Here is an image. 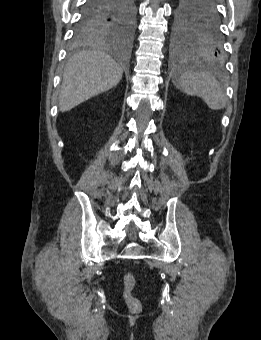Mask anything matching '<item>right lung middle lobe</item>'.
Here are the masks:
<instances>
[{
  "instance_id": "dd1d6c3e",
  "label": "right lung middle lobe",
  "mask_w": 261,
  "mask_h": 340,
  "mask_svg": "<svg viewBox=\"0 0 261 340\" xmlns=\"http://www.w3.org/2000/svg\"><path fill=\"white\" fill-rule=\"evenodd\" d=\"M135 25V5L133 0H125L123 9L117 14L105 13L84 23L79 22L73 37V45L87 43L129 40Z\"/></svg>"
}]
</instances>
